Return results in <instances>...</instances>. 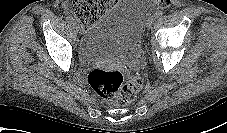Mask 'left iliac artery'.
<instances>
[{
  "instance_id": "obj_1",
  "label": "left iliac artery",
  "mask_w": 227,
  "mask_h": 133,
  "mask_svg": "<svg viewBox=\"0 0 227 133\" xmlns=\"http://www.w3.org/2000/svg\"><path fill=\"white\" fill-rule=\"evenodd\" d=\"M163 15V12L161 11V10H157L155 13H154V17L155 18H159V17H161Z\"/></svg>"
}]
</instances>
